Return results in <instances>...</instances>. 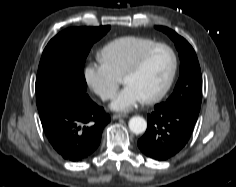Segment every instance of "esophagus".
<instances>
[{
	"label": "esophagus",
	"mask_w": 236,
	"mask_h": 187,
	"mask_svg": "<svg viewBox=\"0 0 236 187\" xmlns=\"http://www.w3.org/2000/svg\"><path fill=\"white\" fill-rule=\"evenodd\" d=\"M128 116L126 114H114L112 118L115 119H120V118H127Z\"/></svg>",
	"instance_id": "esophagus-1"
}]
</instances>
